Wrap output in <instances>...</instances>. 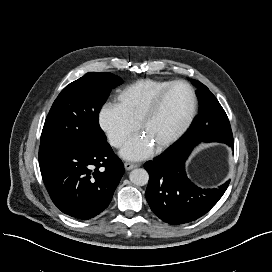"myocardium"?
<instances>
[{"label":"myocardium","mask_w":272,"mask_h":272,"mask_svg":"<svg viewBox=\"0 0 272 272\" xmlns=\"http://www.w3.org/2000/svg\"><path fill=\"white\" fill-rule=\"evenodd\" d=\"M176 86H184L189 93L190 96V108L188 111V114L183 121V123L180 125V127L166 140L161 142L156 146V150L162 151L169 146H171L173 143H175L189 128L191 125L197 109V98L195 95V92L193 88L185 81H174L171 82L165 89H163L156 97L153 99V101L149 104V106L145 109L144 113L142 114V117L138 123V129L140 131L143 130L147 122L156 114V112L161 107L164 99L169 94V92Z\"/></svg>","instance_id":"1"}]
</instances>
